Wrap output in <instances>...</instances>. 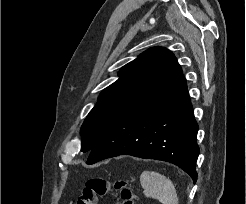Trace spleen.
I'll use <instances>...</instances> for the list:
<instances>
[{"label": "spleen", "mask_w": 246, "mask_h": 204, "mask_svg": "<svg viewBox=\"0 0 246 204\" xmlns=\"http://www.w3.org/2000/svg\"><path fill=\"white\" fill-rule=\"evenodd\" d=\"M143 193L162 204H179L176 188L166 176L155 171H143L140 176Z\"/></svg>", "instance_id": "obj_1"}]
</instances>
